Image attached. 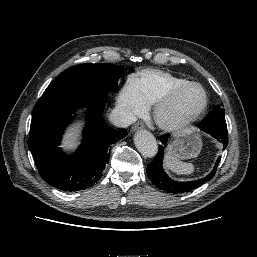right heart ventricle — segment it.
I'll return each instance as SVG.
<instances>
[{"label": "right heart ventricle", "mask_w": 257, "mask_h": 257, "mask_svg": "<svg viewBox=\"0 0 257 257\" xmlns=\"http://www.w3.org/2000/svg\"><path fill=\"white\" fill-rule=\"evenodd\" d=\"M135 80L139 93L148 106L156 105L173 88L190 82L185 78L157 69L143 70Z\"/></svg>", "instance_id": "obj_1"}]
</instances>
